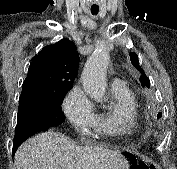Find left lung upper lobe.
Here are the masks:
<instances>
[{"label": "left lung upper lobe", "instance_id": "1", "mask_svg": "<svg viewBox=\"0 0 177 169\" xmlns=\"http://www.w3.org/2000/svg\"><path fill=\"white\" fill-rule=\"evenodd\" d=\"M129 55H130V60H131L132 65L142 73V76L140 78L142 86H146L147 88H149L150 87L149 78L145 75L143 69L139 66L137 55L135 53H129Z\"/></svg>", "mask_w": 177, "mask_h": 169}]
</instances>
